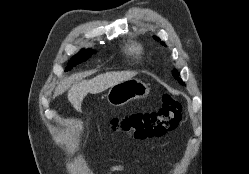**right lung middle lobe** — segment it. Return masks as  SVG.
<instances>
[{
    "instance_id": "right-lung-middle-lobe-1",
    "label": "right lung middle lobe",
    "mask_w": 249,
    "mask_h": 174,
    "mask_svg": "<svg viewBox=\"0 0 249 174\" xmlns=\"http://www.w3.org/2000/svg\"><path fill=\"white\" fill-rule=\"evenodd\" d=\"M90 56H91V51L82 50L80 53H78L72 58V60L68 64L69 67L66 68V71L70 70L72 66H75L76 64L85 61Z\"/></svg>"
}]
</instances>
